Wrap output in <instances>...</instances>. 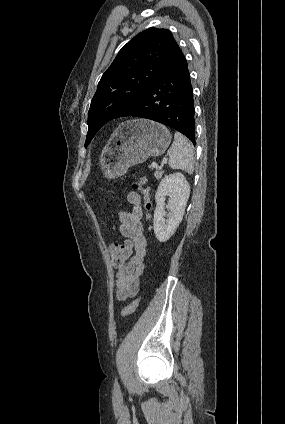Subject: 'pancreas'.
<instances>
[{"mask_svg":"<svg viewBox=\"0 0 285 424\" xmlns=\"http://www.w3.org/2000/svg\"><path fill=\"white\" fill-rule=\"evenodd\" d=\"M154 175H155L156 179H160L163 175V171H156Z\"/></svg>","mask_w":285,"mask_h":424,"instance_id":"cf45deb5","label":"pancreas"}]
</instances>
